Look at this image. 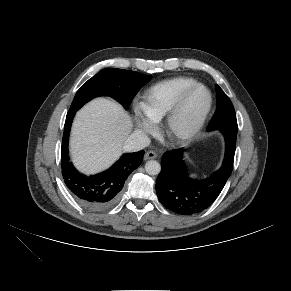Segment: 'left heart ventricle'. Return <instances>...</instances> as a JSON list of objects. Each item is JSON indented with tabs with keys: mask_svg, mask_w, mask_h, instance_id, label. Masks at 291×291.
<instances>
[{
	"mask_svg": "<svg viewBox=\"0 0 291 291\" xmlns=\"http://www.w3.org/2000/svg\"><path fill=\"white\" fill-rule=\"evenodd\" d=\"M207 102L208 95L205 90L199 89L192 93L175 121V129L180 132L190 129L202 114Z\"/></svg>",
	"mask_w": 291,
	"mask_h": 291,
	"instance_id": "b2bd125f",
	"label": "left heart ventricle"
}]
</instances>
